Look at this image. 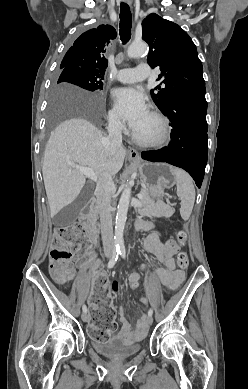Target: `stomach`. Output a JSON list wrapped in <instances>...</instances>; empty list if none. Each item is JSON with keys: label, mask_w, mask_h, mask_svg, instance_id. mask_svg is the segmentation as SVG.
<instances>
[{"label": "stomach", "mask_w": 248, "mask_h": 389, "mask_svg": "<svg viewBox=\"0 0 248 389\" xmlns=\"http://www.w3.org/2000/svg\"><path fill=\"white\" fill-rule=\"evenodd\" d=\"M135 165L152 198H160L164 190L171 188L176 181L175 170L168 164L139 161Z\"/></svg>", "instance_id": "stomach-1"}]
</instances>
